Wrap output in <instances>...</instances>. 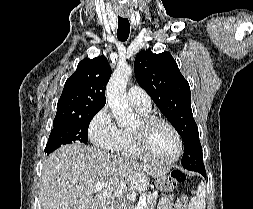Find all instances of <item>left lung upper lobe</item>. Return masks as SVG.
I'll return each instance as SVG.
<instances>
[{"mask_svg":"<svg viewBox=\"0 0 253 209\" xmlns=\"http://www.w3.org/2000/svg\"><path fill=\"white\" fill-rule=\"evenodd\" d=\"M138 84L149 94L184 142L181 164L194 170L203 163L197 124L191 109L190 86L169 52L141 51L134 61Z\"/></svg>","mask_w":253,"mask_h":209,"instance_id":"1","label":"left lung upper lobe"}]
</instances>
